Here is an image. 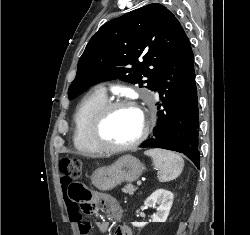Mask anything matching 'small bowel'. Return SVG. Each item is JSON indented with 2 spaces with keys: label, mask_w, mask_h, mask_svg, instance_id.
Here are the masks:
<instances>
[{
  "label": "small bowel",
  "mask_w": 250,
  "mask_h": 235,
  "mask_svg": "<svg viewBox=\"0 0 250 235\" xmlns=\"http://www.w3.org/2000/svg\"><path fill=\"white\" fill-rule=\"evenodd\" d=\"M63 195L69 218L78 225L80 235H88L90 223L83 219L82 213L89 214L92 210H84L81 213V211L77 209V203L71 199L67 187L63 189ZM100 205L110 216L114 218L121 217V207L117 200L111 197H103L100 201ZM96 226L100 232H105L108 227L105 221L97 222ZM115 235H132V231L127 225H119L115 230Z\"/></svg>",
  "instance_id": "obj_1"
}]
</instances>
